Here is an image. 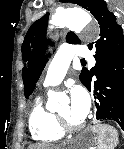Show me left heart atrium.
I'll use <instances>...</instances> for the list:
<instances>
[{
    "mask_svg": "<svg viewBox=\"0 0 124 149\" xmlns=\"http://www.w3.org/2000/svg\"><path fill=\"white\" fill-rule=\"evenodd\" d=\"M90 97L81 86H75L70 91V112L72 117L84 120L90 111Z\"/></svg>",
    "mask_w": 124,
    "mask_h": 149,
    "instance_id": "obj_1",
    "label": "left heart atrium"
}]
</instances>
